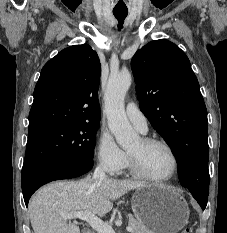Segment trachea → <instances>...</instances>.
Wrapping results in <instances>:
<instances>
[{"label":"trachea","mask_w":227,"mask_h":233,"mask_svg":"<svg viewBox=\"0 0 227 233\" xmlns=\"http://www.w3.org/2000/svg\"><path fill=\"white\" fill-rule=\"evenodd\" d=\"M113 14H114L115 18L118 20V23H119L118 28L122 29L124 20L128 15V11H115V12L113 11Z\"/></svg>","instance_id":"trachea-1"}]
</instances>
